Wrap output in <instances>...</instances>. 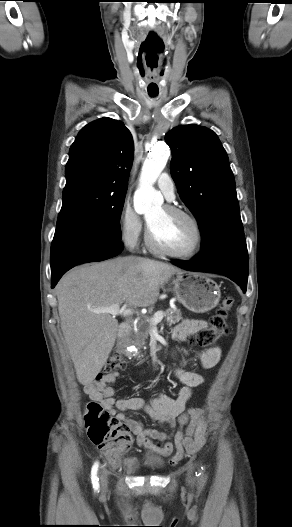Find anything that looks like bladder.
<instances>
[{
  "mask_svg": "<svg viewBox=\"0 0 292 527\" xmlns=\"http://www.w3.org/2000/svg\"><path fill=\"white\" fill-rule=\"evenodd\" d=\"M145 465L151 469H160L163 467V460L154 454H148L144 460Z\"/></svg>",
  "mask_w": 292,
  "mask_h": 527,
  "instance_id": "bladder-1",
  "label": "bladder"
}]
</instances>
